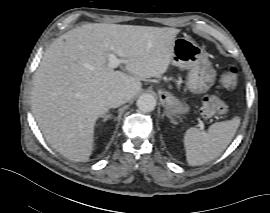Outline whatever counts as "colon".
<instances>
[{
    "mask_svg": "<svg viewBox=\"0 0 270 213\" xmlns=\"http://www.w3.org/2000/svg\"><path fill=\"white\" fill-rule=\"evenodd\" d=\"M238 84V70L230 68L222 77L221 85L226 90L234 89ZM227 111L226 104L215 96H205L202 99L201 114L206 118L216 119Z\"/></svg>",
    "mask_w": 270,
    "mask_h": 213,
    "instance_id": "colon-1",
    "label": "colon"
}]
</instances>
